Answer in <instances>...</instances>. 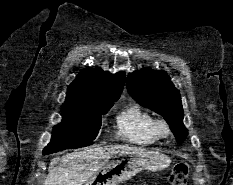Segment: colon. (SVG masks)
Returning <instances> with one entry per match:
<instances>
[{"mask_svg":"<svg viewBox=\"0 0 233 185\" xmlns=\"http://www.w3.org/2000/svg\"><path fill=\"white\" fill-rule=\"evenodd\" d=\"M189 177V165L187 162L180 161L174 164L170 175V185H187Z\"/></svg>","mask_w":233,"mask_h":185,"instance_id":"obj_1","label":"colon"}]
</instances>
